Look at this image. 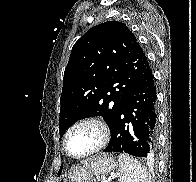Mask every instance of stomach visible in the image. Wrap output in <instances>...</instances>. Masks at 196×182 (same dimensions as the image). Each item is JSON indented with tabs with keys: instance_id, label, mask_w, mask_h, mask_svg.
<instances>
[{
	"instance_id": "obj_1",
	"label": "stomach",
	"mask_w": 196,
	"mask_h": 182,
	"mask_svg": "<svg viewBox=\"0 0 196 182\" xmlns=\"http://www.w3.org/2000/svg\"><path fill=\"white\" fill-rule=\"evenodd\" d=\"M116 167L117 162L111 155L100 154L82 163L64 182H93L113 172Z\"/></svg>"
}]
</instances>
